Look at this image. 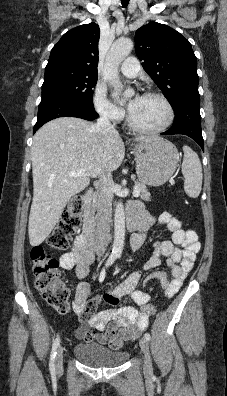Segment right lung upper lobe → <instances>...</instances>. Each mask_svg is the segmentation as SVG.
<instances>
[{"instance_id": "cb5924a9", "label": "right lung upper lobe", "mask_w": 227, "mask_h": 396, "mask_svg": "<svg viewBox=\"0 0 227 396\" xmlns=\"http://www.w3.org/2000/svg\"><path fill=\"white\" fill-rule=\"evenodd\" d=\"M99 26L85 24L65 33L51 50L46 71L66 70L98 75Z\"/></svg>"}]
</instances>
